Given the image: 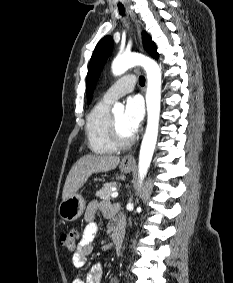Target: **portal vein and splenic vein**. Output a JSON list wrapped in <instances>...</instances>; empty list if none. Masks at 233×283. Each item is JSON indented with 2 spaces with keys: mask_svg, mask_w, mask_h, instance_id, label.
<instances>
[{
  "mask_svg": "<svg viewBox=\"0 0 233 283\" xmlns=\"http://www.w3.org/2000/svg\"><path fill=\"white\" fill-rule=\"evenodd\" d=\"M118 195H119V193L117 191H115L111 194V197L116 198V197H118Z\"/></svg>",
  "mask_w": 233,
  "mask_h": 283,
  "instance_id": "portal-vein-and-splenic-vein-1",
  "label": "portal vein and splenic vein"
}]
</instances>
